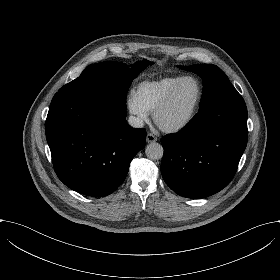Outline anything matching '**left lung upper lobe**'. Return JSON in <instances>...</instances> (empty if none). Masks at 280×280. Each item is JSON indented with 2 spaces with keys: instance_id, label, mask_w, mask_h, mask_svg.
Here are the masks:
<instances>
[{
  "instance_id": "5c2ea615",
  "label": "left lung upper lobe",
  "mask_w": 280,
  "mask_h": 280,
  "mask_svg": "<svg viewBox=\"0 0 280 280\" xmlns=\"http://www.w3.org/2000/svg\"><path fill=\"white\" fill-rule=\"evenodd\" d=\"M178 67L186 71H192L202 78L203 95L200 102V109H203L222 98L239 94L230 83L226 74L216 65L195 64Z\"/></svg>"
}]
</instances>
